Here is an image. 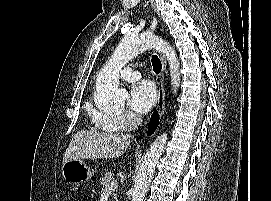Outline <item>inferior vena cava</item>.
I'll return each mask as SVG.
<instances>
[{
  "instance_id": "obj_1",
  "label": "inferior vena cava",
  "mask_w": 271,
  "mask_h": 201,
  "mask_svg": "<svg viewBox=\"0 0 271 201\" xmlns=\"http://www.w3.org/2000/svg\"><path fill=\"white\" fill-rule=\"evenodd\" d=\"M133 117H134V119H135V121H136L137 123H140V122H141V118H140V116H138L137 114H133Z\"/></svg>"
}]
</instances>
